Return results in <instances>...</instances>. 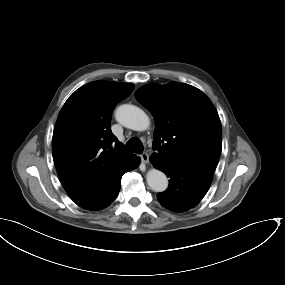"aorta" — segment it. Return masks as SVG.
Listing matches in <instances>:
<instances>
[{"mask_svg":"<svg viewBox=\"0 0 285 285\" xmlns=\"http://www.w3.org/2000/svg\"><path fill=\"white\" fill-rule=\"evenodd\" d=\"M116 120L124 127L135 131H144L150 125L148 115L139 107L124 104L117 108L115 113ZM149 187L155 192H163L168 187L166 175L158 169H150L146 174Z\"/></svg>","mask_w":285,"mask_h":285,"instance_id":"aorta-1","label":"aorta"}]
</instances>
